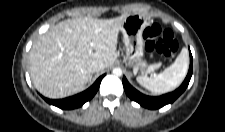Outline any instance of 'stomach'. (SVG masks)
<instances>
[{"instance_id":"0dacf381","label":"stomach","mask_w":225,"mask_h":132,"mask_svg":"<svg viewBox=\"0 0 225 132\" xmlns=\"http://www.w3.org/2000/svg\"><path fill=\"white\" fill-rule=\"evenodd\" d=\"M149 25L146 17L140 14H131L126 17L121 26L123 43L125 45V59L142 73L146 70V63L142 61L143 56V32Z\"/></svg>"}]
</instances>
